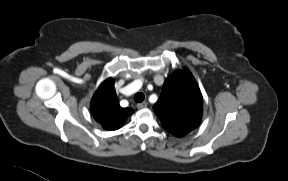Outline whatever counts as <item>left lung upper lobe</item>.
<instances>
[{
  "instance_id": "1",
  "label": "left lung upper lobe",
  "mask_w": 288,
  "mask_h": 181,
  "mask_svg": "<svg viewBox=\"0 0 288 181\" xmlns=\"http://www.w3.org/2000/svg\"><path fill=\"white\" fill-rule=\"evenodd\" d=\"M202 106L203 97L192 74L177 70L165 80L153 109L168 132L182 137L200 124Z\"/></svg>"
}]
</instances>
